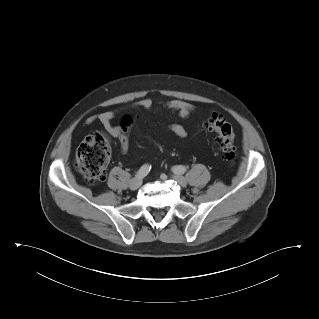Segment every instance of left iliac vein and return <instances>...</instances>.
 Wrapping results in <instances>:
<instances>
[{
    "instance_id": "1",
    "label": "left iliac vein",
    "mask_w": 319,
    "mask_h": 319,
    "mask_svg": "<svg viewBox=\"0 0 319 319\" xmlns=\"http://www.w3.org/2000/svg\"><path fill=\"white\" fill-rule=\"evenodd\" d=\"M173 179L182 187H185L187 185V180L180 174H175L173 176Z\"/></svg>"
}]
</instances>
